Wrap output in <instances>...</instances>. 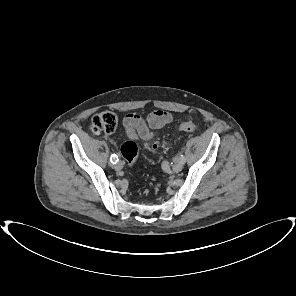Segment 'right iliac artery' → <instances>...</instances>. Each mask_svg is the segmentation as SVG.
I'll list each match as a JSON object with an SVG mask.
<instances>
[{
	"label": "right iliac artery",
	"instance_id": "right-iliac-artery-1",
	"mask_svg": "<svg viewBox=\"0 0 296 296\" xmlns=\"http://www.w3.org/2000/svg\"><path fill=\"white\" fill-rule=\"evenodd\" d=\"M110 162H111L112 164H116V163L118 162V157H117L116 154H112V155H111Z\"/></svg>",
	"mask_w": 296,
	"mask_h": 296
}]
</instances>
